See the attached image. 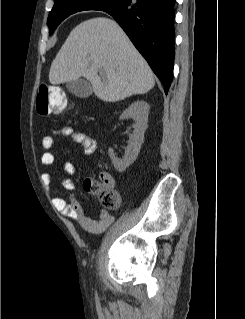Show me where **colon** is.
<instances>
[{
  "label": "colon",
  "mask_w": 245,
  "mask_h": 319,
  "mask_svg": "<svg viewBox=\"0 0 245 319\" xmlns=\"http://www.w3.org/2000/svg\"><path fill=\"white\" fill-rule=\"evenodd\" d=\"M66 108V98L63 91L55 85H41L37 94V112L40 115H50L61 112ZM87 191L98 194L102 206L108 210H114L119 206V195L111 190H101L99 184L92 179L84 182Z\"/></svg>",
  "instance_id": "1"
}]
</instances>
